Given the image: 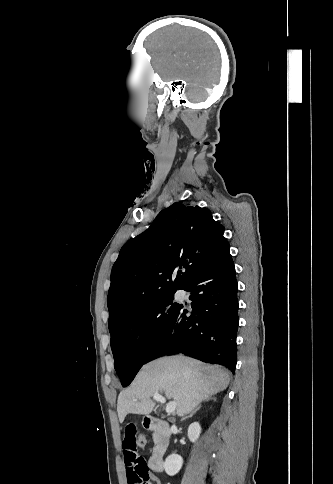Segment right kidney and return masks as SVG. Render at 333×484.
I'll use <instances>...</instances> for the list:
<instances>
[{
	"mask_svg": "<svg viewBox=\"0 0 333 484\" xmlns=\"http://www.w3.org/2000/svg\"><path fill=\"white\" fill-rule=\"evenodd\" d=\"M201 433V427L198 422H194L188 427V438L191 442H196ZM183 465V459L177 454L169 455L164 462V469L167 475H176Z\"/></svg>",
	"mask_w": 333,
	"mask_h": 484,
	"instance_id": "right-kidney-1",
	"label": "right kidney"
}]
</instances>
